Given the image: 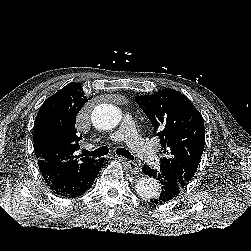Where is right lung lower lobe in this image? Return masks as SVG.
<instances>
[{"label":"right lung lower lobe","instance_id":"98d812e1","mask_svg":"<svg viewBox=\"0 0 251 251\" xmlns=\"http://www.w3.org/2000/svg\"><path fill=\"white\" fill-rule=\"evenodd\" d=\"M104 160L98 159L93 167L82 172L71 173L61 178L46 181L50 189L63 197H77L85 193L94 183V180L103 166Z\"/></svg>","mask_w":251,"mask_h":251}]
</instances>
